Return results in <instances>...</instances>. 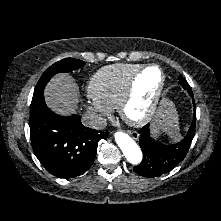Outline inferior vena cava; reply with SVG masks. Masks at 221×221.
<instances>
[{"instance_id": "obj_1", "label": "inferior vena cava", "mask_w": 221, "mask_h": 221, "mask_svg": "<svg viewBox=\"0 0 221 221\" xmlns=\"http://www.w3.org/2000/svg\"><path fill=\"white\" fill-rule=\"evenodd\" d=\"M82 121L85 126L96 130H102L107 126L106 119L96 113L84 114L82 116Z\"/></svg>"}]
</instances>
